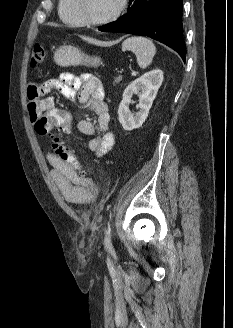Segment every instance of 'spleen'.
Wrapping results in <instances>:
<instances>
[{
	"label": "spleen",
	"instance_id": "spleen-1",
	"mask_svg": "<svg viewBox=\"0 0 233 328\" xmlns=\"http://www.w3.org/2000/svg\"><path fill=\"white\" fill-rule=\"evenodd\" d=\"M122 51H132L140 68H147L156 54V47L153 42L142 36H132L122 43Z\"/></svg>",
	"mask_w": 233,
	"mask_h": 328
}]
</instances>
